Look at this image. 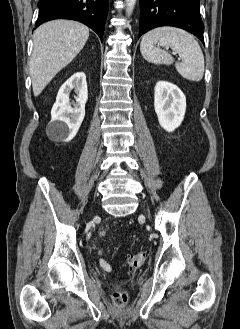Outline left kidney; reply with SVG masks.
Here are the masks:
<instances>
[{
	"label": "left kidney",
	"mask_w": 240,
	"mask_h": 329,
	"mask_svg": "<svg viewBox=\"0 0 240 329\" xmlns=\"http://www.w3.org/2000/svg\"><path fill=\"white\" fill-rule=\"evenodd\" d=\"M154 109L161 127L167 132H172L184 119L185 95L176 85L159 81L154 89Z\"/></svg>",
	"instance_id": "1"
}]
</instances>
